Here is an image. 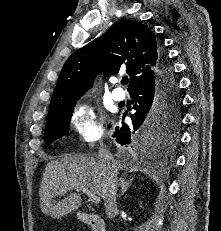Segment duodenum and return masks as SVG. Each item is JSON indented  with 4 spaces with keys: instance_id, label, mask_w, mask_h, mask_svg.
<instances>
[{
    "instance_id": "410a0bca",
    "label": "duodenum",
    "mask_w": 221,
    "mask_h": 231,
    "mask_svg": "<svg viewBox=\"0 0 221 231\" xmlns=\"http://www.w3.org/2000/svg\"><path fill=\"white\" fill-rule=\"evenodd\" d=\"M80 222L89 225L93 231H106L104 220L100 215L78 212Z\"/></svg>"
}]
</instances>
